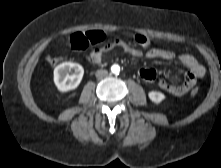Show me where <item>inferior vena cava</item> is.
<instances>
[{"instance_id":"602c4592","label":"inferior vena cava","mask_w":221,"mask_h":168,"mask_svg":"<svg viewBox=\"0 0 221 168\" xmlns=\"http://www.w3.org/2000/svg\"><path fill=\"white\" fill-rule=\"evenodd\" d=\"M95 75L98 79H102L108 75V71L104 69H100L96 71Z\"/></svg>"}]
</instances>
